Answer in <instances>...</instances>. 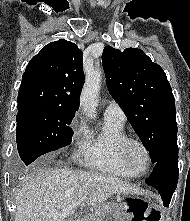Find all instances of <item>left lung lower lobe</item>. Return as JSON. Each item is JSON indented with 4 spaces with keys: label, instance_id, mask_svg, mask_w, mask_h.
Instances as JSON below:
<instances>
[{
    "label": "left lung lower lobe",
    "instance_id": "obj_1",
    "mask_svg": "<svg viewBox=\"0 0 190 221\" xmlns=\"http://www.w3.org/2000/svg\"><path fill=\"white\" fill-rule=\"evenodd\" d=\"M179 176L178 170V147L169 150L154 164L151 175L146 183L158 190L163 205L168 206L172 195L177 187Z\"/></svg>",
    "mask_w": 190,
    "mask_h": 221
}]
</instances>
